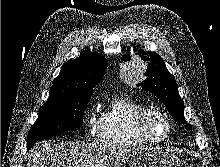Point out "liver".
Instances as JSON below:
<instances>
[{"label": "liver", "instance_id": "1", "mask_svg": "<svg viewBox=\"0 0 220 167\" xmlns=\"http://www.w3.org/2000/svg\"><path fill=\"white\" fill-rule=\"evenodd\" d=\"M127 149L111 142H41L29 155L27 167H111Z\"/></svg>", "mask_w": 220, "mask_h": 167}]
</instances>
